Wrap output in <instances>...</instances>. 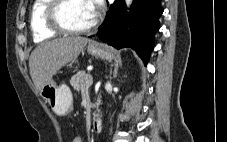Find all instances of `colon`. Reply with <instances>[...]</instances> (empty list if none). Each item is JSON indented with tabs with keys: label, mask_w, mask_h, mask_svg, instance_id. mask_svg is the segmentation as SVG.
I'll return each mask as SVG.
<instances>
[{
	"label": "colon",
	"mask_w": 227,
	"mask_h": 142,
	"mask_svg": "<svg viewBox=\"0 0 227 142\" xmlns=\"http://www.w3.org/2000/svg\"><path fill=\"white\" fill-rule=\"evenodd\" d=\"M70 142H84L83 137L79 133H74L71 137Z\"/></svg>",
	"instance_id": "colon-1"
}]
</instances>
